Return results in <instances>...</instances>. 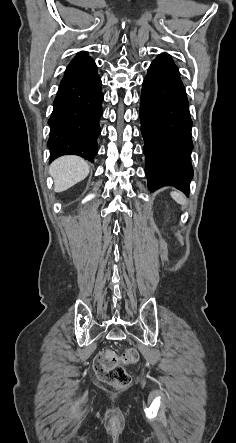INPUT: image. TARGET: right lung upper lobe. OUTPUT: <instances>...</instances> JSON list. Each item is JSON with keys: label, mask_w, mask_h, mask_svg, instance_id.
I'll list each match as a JSON object with an SVG mask.
<instances>
[{"label": "right lung upper lobe", "mask_w": 236, "mask_h": 443, "mask_svg": "<svg viewBox=\"0 0 236 443\" xmlns=\"http://www.w3.org/2000/svg\"><path fill=\"white\" fill-rule=\"evenodd\" d=\"M77 56H82V57H89V56H88V53H87V52H85V51H82V52L78 53V55H77Z\"/></svg>", "instance_id": "1"}]
</instances>
